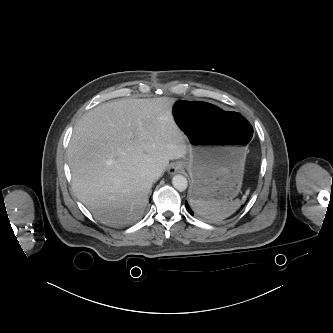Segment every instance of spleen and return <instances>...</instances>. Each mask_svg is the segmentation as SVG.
Listing matches in <instances>:
<instances>
[{"instance_id": "1", "label": "spleen", "mask_w": 333, "mask_h": 333, "mask_svg": "<svg viewBox=\"0 0 333 333\" xmlns=\"http://www.w3.org/2000/svg\"><path fill=\"white\" fill-rule=\"evenodd\" d=\"M246 198L247 196L244 195L242 200L236 199L234 201L222 202L204 201L191 198L190 205L197 214L217 222L235 213V211L245 202Z\"/></svg>"}]
</instances>
